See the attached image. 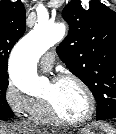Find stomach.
Segmentation results:
<instances>
[{
    "instance_id": "stomach-1",
    "label": "stomach",
    "mask_w": 116,
    "mask_h": 134,
    "mask_svg": "<svg viewBox=\"0 0 116 134\" xmlns=\"http://www.w3.org/2000/svg\"><path fill=\"white\" fill-rule=\"evenodd\" d=\"M81 134H116V131L105 122H92L81 130Z\"/></svg>"
}]
</instances>
